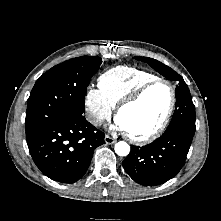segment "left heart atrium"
Listing matches in <instances>:
<instances>
[{"mask_svg": "<svg viewBox=\"0 0 221 221\" xmlns=\"http://www.w3.org/2000/svg\"><path fill=\"white\" fill-rule=\"evenodd\" d=\"M117 127H118L120 130H125L124 126L122 125V123H121L120 121H118Z\"/></svg>", "mask_w": 221, "mask_h": 221, "instance_id": "left-heart-atrium-1", "label": "left heart atrium"}]
</instances>
